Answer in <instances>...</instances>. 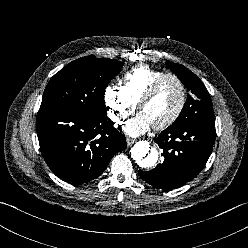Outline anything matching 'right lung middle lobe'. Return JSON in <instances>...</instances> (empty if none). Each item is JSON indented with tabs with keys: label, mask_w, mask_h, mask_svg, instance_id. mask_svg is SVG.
I'll list each match as a JSON object with an SVG mask.
<instances>
[{
	"label": "right lung middle lobe",
	"mask_w": 248,
	"mask_h": 248,
	"mask_svg": "<svg viewBox=\"0 0 248 248\" xmlns=\"http://www.w3.org/2000/svg\"><path fill=\"white\" fill-rule=\"evenodd\" d=\"M115 59L79 58L61 69L48 82L40 109L55 108L106 117L104 93L122 70Z\"/></svg>",
	"instance_id": "1"
}]
</instances>
